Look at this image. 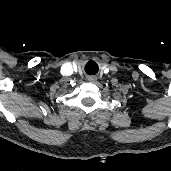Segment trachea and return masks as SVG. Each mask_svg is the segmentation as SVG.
Masks as SVG:
<instances>
[{
	"mask_svg": "<svg viewBox=\"0 0 171 171\" xmlns=\"http://www.w3.org/2000/svg\"><path fill=\"white\" fill-rule=\"evenodd\" d=\"M90 65H91V62L87 63L86 67H85V71L89 74L91 73V69H90ZM98 71V69L94 72V74Z\"/></svg>",
	"mask_w": 171,
	"mask_h": 171,
	"instance_id": "3493384b",
	"label": "trachea"
}]
</instances>
